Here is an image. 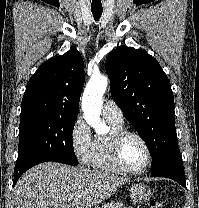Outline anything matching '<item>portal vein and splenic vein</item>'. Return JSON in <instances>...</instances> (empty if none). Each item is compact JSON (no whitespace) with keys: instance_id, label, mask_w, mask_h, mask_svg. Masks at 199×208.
<instances>
[{"instance_id":"18ae733b","label":"portal vein and splenic vein","mask_w":199,"mask_h":208,"mask_svg":"<svg viewBox=\"0 0 199 208\" xmlns=\"http://www.w3.org/2000/svg\"><path fill=\"white\" fill-rule=\"evenodd\" d=\"M68 201H72V198H68Z\"/></svg>"}]
</instances>
